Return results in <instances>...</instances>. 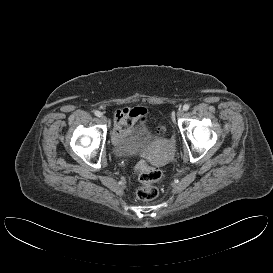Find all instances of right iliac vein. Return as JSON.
Instances as JSON below:
<instances>
[{"instance_id":"63e3f726","label":"right iliac vein","mask_w":273,"mask_h":273,"mask_svg":"<svg viewBox=\"0 0 273 273\" xmlns=\"http://www.w3.org/2000/svg\"><path fill=\"white\" fill-rule=\"evenodd\" d=\"M101 121H102L104 124H106V123H107V118H106V116L102 115V116H101Z\"/></svg>"}]
</instances>
